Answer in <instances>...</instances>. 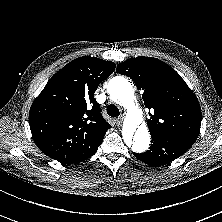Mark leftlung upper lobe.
<instances>
[{
  "mask_svg": "<svg viewBox=\"0 0 222 222\" xmlns=\"http://www.w3.org/2000/svg\"><path fill=\"white\" fill-rule=\"evenodd\" d=\"M129 76L149 110L150 134L163 133L196 141L201 126V108L196 95L182 77L163 61L151 57L130 58L117 66Z\"/></svg>",
  "mask_w": 222,
  "mask_h": 222,
  "instance_id": "obj_1",
  "label": "left lung upper lobe"
}]
</instances>
